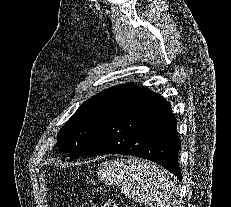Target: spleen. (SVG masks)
<instances>
[{
    "instance_id": "3e777b00",
    "label": "spleen",
    "mask_w": 231,
    "mask_h": 207,
    "mask_svg": "<svg viewBox=\"0 0 231 207\" xmlns=\"http://www.w3.org/2000/svg\"><path fill=\"white\" fill-rule=\"evenodd\" d=\"M98 175L107 184L120 185L126 196L146 206L171 207L177 202L175 184L150 162L138 159L103 162Z\"/></svg>"
}]
</instances>
